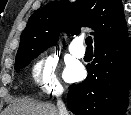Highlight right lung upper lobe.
I'll return each instance as SVG.
<instances>
[{
    "label": "right lung upper lobe",
    "mask_w": 131,
    "mask_h": 115,
    "mask_svg": "<svg viewBox=\"0 0 131 115\" xmlns=\"http://www.w3.org/2000/svg\"><path fill=\"white\" fill-rule=\"evenodd\" d=\"M81 27L95 30V47L128 35L121 0L53 1L34 12L22 32L20 57L28 51L46 50L56 44L60 31L77 35Z\"/></svg>",
    "instance_id": "obj_1"
}]
</instances>
